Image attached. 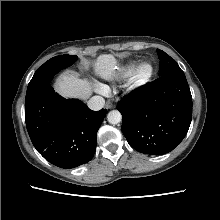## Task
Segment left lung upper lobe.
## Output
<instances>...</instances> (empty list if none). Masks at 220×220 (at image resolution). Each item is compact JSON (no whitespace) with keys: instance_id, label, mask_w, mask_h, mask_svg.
Instances as JSON below:
<instances>
[{"instance_id":"obj_1","label":"left lung upper lobe","mask_w":220,"mask_h":220,"mask_svg":"<svg viewBox=\"0 0 220 220\" xmlns=\"http://www.w3.org/2000/svg\"><path fill=\"white\" fill-rule=\"evenodd\" d=\"M157 53L160 59V76L183 72L180 69L179 65L176 63V61L173 58H171L168 54H166L164 51L157 49Z\"/></svg>"}]
</instances>
